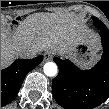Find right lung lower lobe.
Returning <instances> with one entry per match:
<instances>
[{
	"label": "right lung lower lobe",
	"instance_id": "obj_1",
	"mask_svg": "<svg viewBox=\"0 0 109 109\" xmlns=\"http://www.w3.org/2000/svg\"><path fill=\"white\" fill-rule=\"evenodd\" d=\"M43 60V56L34 59H18L8 68L1 70V106L10 103L17 95L25 76Z\"/></svg>",
	"mask_w": 109,
	"mask_h": 109
}]
</instances>
